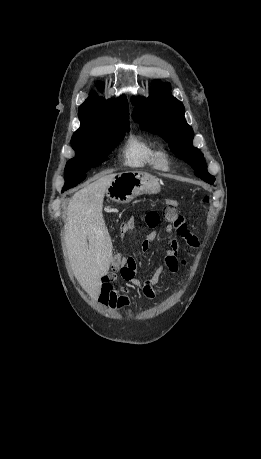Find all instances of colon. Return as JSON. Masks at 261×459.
<instances>
[{
	"label": "colon",
	"mask_w": 261,
	"mask_h": 459,
	"mask_svg": "<svg viewBox=\"0 0 261 459\" xmlns=\"http://www.w3.org/2000/svg\"><path fill=\"white\" fill-rule=\"evenodd\" d=\"M208 201V197L204 198V202ZM164 218L172 223L178 230H181L184 227V218L178 214V202L175 199L168 198L166 199V206L164 210ZM142 222L149 229H155L160 222V216L156 211H150L144 215ZM124 259V254L122 252H117L113 260V269L120 270L122 267L121 261Z\"/></svg>",
	"instance_id": "colon-1"
}]
</instances>
